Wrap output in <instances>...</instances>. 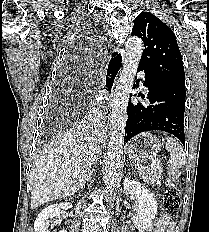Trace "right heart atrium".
<instances>
[{"label": "right heart atrium", "mask_w": 209, "mask_h": 232, "mask_svg": "<svg viewBox=\"0 0 209 232\" xmlns=\"http://www.w3.org/2000/svg\"><path fill=\"white\" fill-rule=\"evenodd\" d=\"M92 116H93V117H96L97 115H96V113H93Z\"/></svg>", "instance_id": "obj_1"}]
</instances>
